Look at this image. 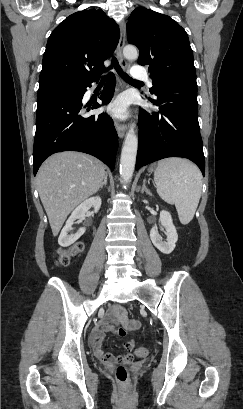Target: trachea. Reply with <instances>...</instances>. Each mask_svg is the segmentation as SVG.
<instances>
[{"label": "trachea", "mask_w": 243, "mask_h": 409, "mask_svg": "<svg viewBox=\"0 0 243 409\" xmlns=\"http://www.w3.org/2000/svg\"><path fill=\"white\" fill-rule=\"evenodd\" d=\"M114 66V68L116 69L117 73L121 76V78H123L125 81H137L135 79H132L131 77H129L128 74L124 73L122 68L120 67L118 60L115 56H113L112 59V65L109 68H112ZM105 79V77L103 78Z\"/></svg>", "instance_id": "1"}]
</instances>
